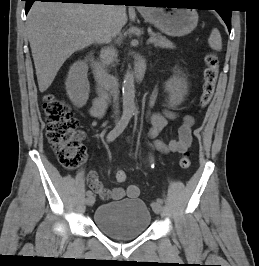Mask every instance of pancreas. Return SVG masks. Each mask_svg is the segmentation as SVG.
Here are the masks:
<instances>
[{"label": "pancreas", "mask_w": 259, "mask_h": 266, "mask_svg": "<svg viewBox=\"0 0 259 266\" xmlns=\"http://www.w3.org/2000/svg\"><path fill=\"white\" fill-rule=\"evenodd\" d=\"M153 43L156 47L160 48L173 49L175 47L171 41H169L168 39H166L161 35H155ZM115 57H116L115 51L110 48L103 50L101 53V61L106 65H109L111 62H113Z\"/></svg>", "instance_id": "pancreas-1"}]
</instances>
